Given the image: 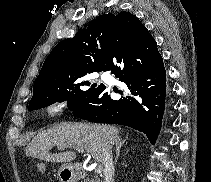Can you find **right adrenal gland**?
Returning a JSON list of instances; mask_svg holds the SVG:
<instances>
[{
  "label": "right adrenal gland",
  "mask_w": 211,
  "mask_h": 182,
  "mask_svg": "<svg viewBox=\"0 0 211 182\" xmlns=\"http://www.w3.org/2000/svg\"><path fill=\"white\" fill-rule=\"evenodd\" d=\"M125 141H126V140L121 141V139H119V140L116 142V157H115V161H114L115 164L117 163L118 157H119V155H120V149H121V147L123 146V144L125 143Z\"/></svg>",
  "instance_id": "1"
}]
</instances>
